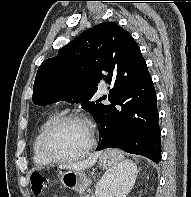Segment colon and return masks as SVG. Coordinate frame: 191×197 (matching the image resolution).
Returning a JSON list of instances; mask_svg holds the SVG:
<instances>
[{
	"label": "colon",
	"instance_id": "colon-1",
	"mask_svg": "<svg viewBox=\"0 0 191 197\" xmlns=\"http://www.w3.org/2000/svg\"><path fill=\"white\" fill-rule=\"evenodd\" d=\"M32 192L36 195L41 194L47 187V178L40 173H32L30 176Z\"/></svg>",
	"mask_w": 191,
	"mask_h": 197
}]
</instances>
